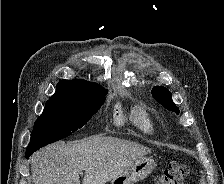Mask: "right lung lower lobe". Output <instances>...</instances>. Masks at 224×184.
Returning a JSON list of instances; mask_svg holds the SVG:
<instances>
[{"mask_svg": "<svg viewBox=\"0 0 224 184\" xmlns=\"http://www.w3.org/2000/svg\"><path fill=\"white\" fill-rule=\"evenodd\" d=\"M35 151H32V150H26V153H25V158H29Z\"/></svg>", "mask_w": 224, "mask_h": 184, "instance_id": "obj_1", "label": "right lung lower lobe"}]
</instances>
